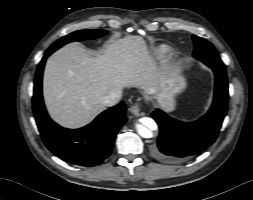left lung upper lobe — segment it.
Here are the masks:
<instances>
[{
	"mask_svg": "<svg viewBox=\"0 0 253 200\" xmlns=\"http://www.w3.org/2000/svg\"><path fill=\"white\" fill-rule=\"evenodd\" d=\"M194 52L193 56L205 63L210 68L224 70L225 65L217 54L214 46L204 38L193 35Z\"/></svg>",
	"mask_w": 253,
	"mask_h": 200,
	"instance_id": "left-lung-upper-lobe-1",
	"label": "left lung upper lobe"
}]
</instances>
